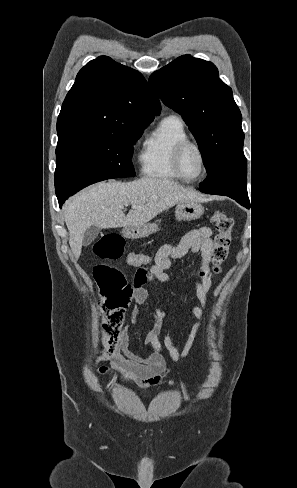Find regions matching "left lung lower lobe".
I'll list each match as a JSON object with an SVG mask.
<instances>
[{
	"mask_svg": "<svg viewBox=\"0 0 297 488\" xmlns=\"http://www.w3.org/2000/svg\"><path fill=\"white\" fill-rule=\"evenodd\" d=\"M236 201L247 208L250 207V202L248 200L236 199Z\"/></svg>",
	"mask_w": 297,
	"mask_h": 488,
	"instance_id": "0a47b994",
	"label": "left lung lower lobe"
}]
</instances>
